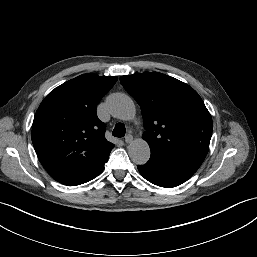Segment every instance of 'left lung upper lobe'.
<instances>
[{"label":"left lung upper lobe","mask_w":257,"mask_h":257,"mask_svg":"<svg viewBox=\"0 0 257 257\" xmlns=\"http://www.w3.org/2000/svg\"><path fill=\"white\" fill-rule=\"evenodd\" d=\"M120 83L141 107L151 152L207 154L212 118L193 88L158 72L121 76Z\"/></svg>","instance_id":"1"}]
</instances>
